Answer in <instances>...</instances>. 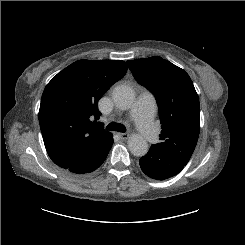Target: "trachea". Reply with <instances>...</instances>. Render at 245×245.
Wrapping results in <instances>:
<instances>
[{"instance_id":"obj_1","label":"trachea","mask_w":245,"mask_h":245,"mask_svg":"<svg viewBox=\"0 0 245 245\" xmlns=\"http://www.w3.org/2000/svg\"><path fill=\"white\" fill-rule=\"evenodd\" d=\"M106 129L110 131H118L123 133L126 131V128L122 124H117L115 122L109 123Z\"/></svg>"}]
</instances>
